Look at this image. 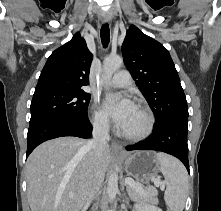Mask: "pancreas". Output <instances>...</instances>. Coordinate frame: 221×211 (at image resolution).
Masks as SVG:
<instances>
[{
	"instance_id": "obj_1",
	"label": "pancreas",
	"mask_w": 221,
	"mask_h": 211,
	"mask_svg": "<svg viewBox=\"0 0 221 211\" xmlns=\"http://www.w3.org/2000/svg\"><path fill=\"white\" fill-rule=\"evenodd\" d=\"M137 186H140L143 188V186L139 183L136 182ZM128 193L129 196L131 197V199L133 200H143V201H149L151 203L157 204L158 200L155 198H147L146 196H143L136 188H134L133 186H128Z\"/></svg>"
}]
</instances>
